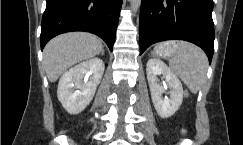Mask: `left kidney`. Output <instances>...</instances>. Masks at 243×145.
Listing matches in <instances>:
<instances>
[{
	"mask_svg": "<svg viewBox=\"0 0 243 145\" xmlns=\"http://www.w3.org/2000/svg\"><path fill=\"white\" fill-rule=\"evenodd\" d=\"M151 98L157 114L161 118L171 117L180 107L183 100V87L177 76L167 65L156 58L149 59L146 67ZM163 75L167 87L170 88V98H162L166 88L158 83L157 75Z\"/></svg>",
	"mask_w": 243,
	"mask_h": 145,
	"instance_id": "5707ae66",
	"label": "left kidney"
}]
</instances>
